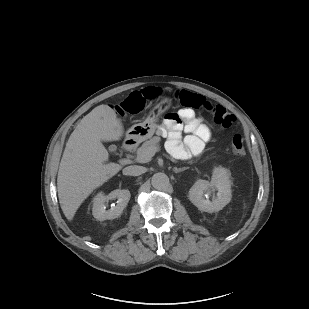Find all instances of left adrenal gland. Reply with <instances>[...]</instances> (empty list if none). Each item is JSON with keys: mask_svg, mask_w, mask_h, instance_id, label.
I'll use <instances>...</instances> for the list:
<instances>
[{"mask_svg": "<svg viewBox=\"0 0 309 309\" xmlns=\"http://www.w3.org/2000/svg\"><path fill=\"white\" fill-rule=\"evenodd\" d=\"M189 167H183V168H176V167H174L173 168V171L175 172V173H179V172H182V171H184V170H187Z\"/></svg>", "mask_w": 309, "mask_h": 309, "instance_id": "a2214340", "label": "left adrenal gland"}]
</instances>
